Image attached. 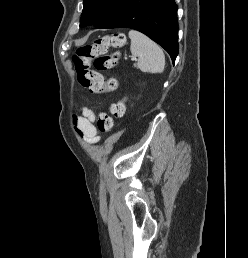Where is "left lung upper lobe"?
Returning <instances> with one entry per match:
<instances>
[{
    "label": "left lung upper lobe",
    "instance_id": "1",
    "mask_svg": "<svg viewBox=\"0 0 248 258\" xmlns=\"http://www.w3.org/2000/svg\"><path fill=\"white\" fill-rule=\"evenodd\" d=\"M128 0H84L80 27L94 24L99 27L112 19Z\"/></svg>",
    "mask_w": 248,
    "mask_h": 258
}]
</instances>
